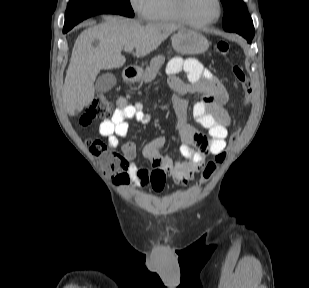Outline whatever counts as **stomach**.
Wrapping results in <instances>:
<instances>
[{"instance_id": "1", "label": "stomach", "mask_w": 309, "mask_h": 288, "mask_svg": "<svg viewBox=\"0 0 309 288\" xmlns=\"http://www.w3.org/2000/svg\"><path fill=\"white\" fill-rule=\"evenodd\" d=\"M172 47L175 51L183 55H196L204 53L208 47V40L199 32L181 28L172 36ZM141 78V72H138L135 80Z\"/></svg>"}]
</instances>
